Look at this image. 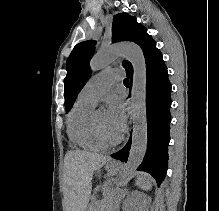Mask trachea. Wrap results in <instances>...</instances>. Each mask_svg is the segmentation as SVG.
<instances>
[{
    "label": "trachea",
    "mask_w": 219,
    "mask_h": 211,
    "mask_svg": "<svg viewBox=\"0 0 219 211\" xmlns=\"http://www.w3.org/2000/svg\"><path fill=\"white\" fill-rule=\"evenodd\" d=\"M123 83H124L125 85H126V84H129L128 78H125L124 81H123Z\"/></svg>",
    "instance_id": "3493384b"
}]
</instances>
